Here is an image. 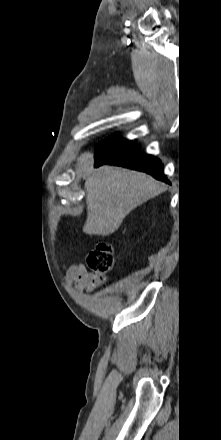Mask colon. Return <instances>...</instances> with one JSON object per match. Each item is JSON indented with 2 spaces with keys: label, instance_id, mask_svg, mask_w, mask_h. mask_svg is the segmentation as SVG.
I'll use <instances>...</instances> for the list:
<instances>
[{
  "label": "colon",
  "instance_id": "obj_1",
  "mask_svg": "<svg viewBox=\"0 0 221 440\" xmlns=\"http://www.w3.org/2000/svg\"><path fill=\"white\" fill-rule=\"evenodd\" d=\"M89 268L101 279L104 280L106 274L114 266V252L109 243H98L87 257Z\"/></svg>",
  "mask_w": 221,
  "mask_h": 440
}]
</instances>
